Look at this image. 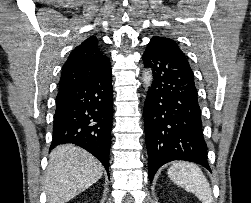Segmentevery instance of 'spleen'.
I'll return each mask as SVG.
<instances>
[{
	"label": "spleen",
	"instance_id": "1",
	"mask_svg": "<svg viewBox=\"0 0 251 203\" xmlns=\"http://www.w3.org/2000/svg\"><path fill=\"white\" fill-rule=\"evenodd\" d=\"M169 178L178 186L192 192L202 203H212V191L202 170L190 162H176L168 169Z\"/></svg>",
	"mask_w": 251,
	"mask_h": 203
}]
</instances>
